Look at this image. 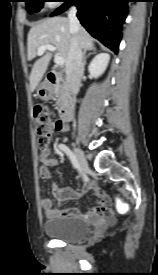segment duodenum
Segmentation results:
<instances>
[{
    "label": "duodenum",
    "mask_w": 158,
    "mask_h": 275,
    "mask_svg": "<svg viewBox=\"0 0 158 275\" xmlns=\"http://www.w3.org/2000/svg\"><path fill=\"white\" fill-rule=\"evenodd\" d=\"M46 83L49 85H53L57 81V73L56 72H48L45 77ZM74 115V107L71 103H67L63 105L60 109V117L62 122H69L72 120Z\"/></svg>",
    "instance_id": "obj_1"
}]
</instances>
